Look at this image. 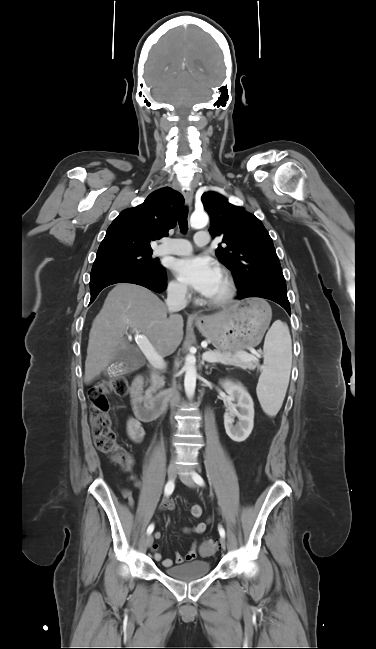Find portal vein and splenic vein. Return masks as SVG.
<instances>
[{"label": "portal vein and splenic vein", "mask_w": 376, "mask_h": 649, "mask_svg": "<svg viewBox=\"0 0 376 649\" xmlns=\"http://www.w3.org/2000/svg\"><path fill=\"white\" fill-rule=\"evenodd\" d=\"M135 340L137 344L140 346L143 354L147 358V360L156 368L159 370H162L165 368V362L163 360V357L160 356L152 346V344L149 342L148 338L144 334H135ZM223 357L229 360H244V361H255L257 358L254 355L251 354H241V353H236L234 355L226 354H216V353H206L203 355V359L207 362L214 363L218 362L220 360H223Z\"/></svg>", "instance_id": "portal-vein-and-splenic-vein-1"}]
</instances>
